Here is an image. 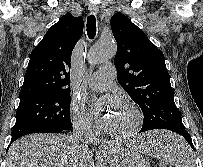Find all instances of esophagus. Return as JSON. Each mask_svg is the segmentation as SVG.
<instances>
[{
	"mask_svg": "<svg viewBox=\"0 0 203 167\" xmlns=\"http://www.w3.org/2000/svg\"><path fill=\"white\" fill-rule=\"evenodd\" d=\"M89 12L91 14H97L98 11H99V8L97 5L95 4H90L89 5ZM109 150V145L108 144H101L100 147H99V151L102 152V153H105Z\"/></svg>",
	"mask_w": 203,
	"mask_h": 167,
	"instance_id": "obj_1",
	"label": "esophagus"
}]
</instances>
